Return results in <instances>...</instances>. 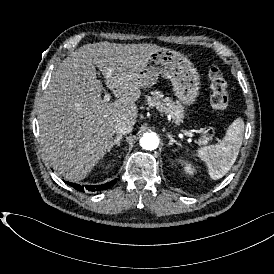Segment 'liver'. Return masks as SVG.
Listing matches in <instances>:
<instances>
[{"label": "liver", "instance_id": "liver-1", "mask_svg": "<svg viewBox=\"0 0 274 274\" xmlns=\"http://www.w3.org/2000/svg\"><path fill=\"white\" fill-rule=\"evenodd\" d=\"M159 48L148 43H89L71 51L52 73L38 105V124L46 159L66 180L87 177L111 150L117 123H136L138 72ZM96 67L117 98L114 102L103 101Z\"/></svg>", "mask_w": 274, "mask_h": 274}]
</instances>
